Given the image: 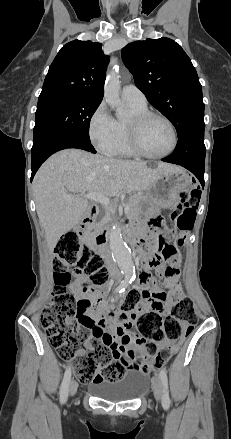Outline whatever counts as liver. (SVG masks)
Masks as SVG:
<instances>
[{
  "instance_id": "obj_1",
  "label": "liver",
  "mask_w": 231,
  "mask_h": 439,
  "mask_svg": "<svg viewBox=\"0 0 231 439\" xmlns=\"http://www.w3.org/2000/svg\"><path fill=\"white\" fill-rule=\"evenodd\" d=\"M182 168L93 155L80 149H65L52 155L33 180L36 210L52 251L60 237L82 218L88 202L80 193L100 192L112 198L123 190L148 189L159 177Z\"/></svg>"
}]
</instances>
